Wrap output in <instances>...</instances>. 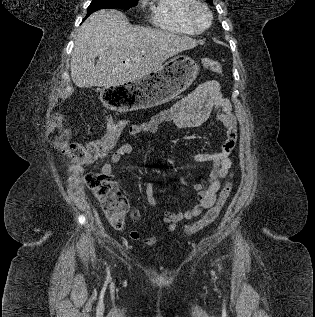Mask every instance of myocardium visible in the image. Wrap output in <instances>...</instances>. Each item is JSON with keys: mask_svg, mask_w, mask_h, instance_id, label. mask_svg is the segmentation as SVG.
Returning a JSON list of instances; mask_svg holds the SVG:
<instances>
[{"mask_svg": "<svg viewBox=\"0 0 315 317\" xmlns=\"http://www.w3.org/2000/svg\"><path fill=\"white\" fill-rule=\"evenodd\" d=\"M198 10H203L207 15V23L202 26L196 20V13ZM186 19L188 23L198 32L206 31L212 24L213 16L210 8L203 2L193 0L186 10Z\"/></svg>", "mask_w": 315, "mask_h": 317, "instance_id": "1", "label": "myocardium"}]
</instances>
